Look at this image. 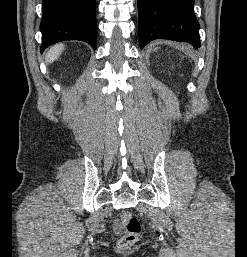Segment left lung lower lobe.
<instances>
[{
    "instance_id": "obj_1",
    "label": "left lung lower lobe",
    "mask_w": 247,
    "mask_h": 257,
    "mask_svg": "<svg viewBox=\"0 0 247 257\" xmlns=\"http://www.w3.org/2000/svg\"><path fill=\"white\" fill-rule=\"evenodd\" d=\"M140 47L155 39L188 42L200 47L194 0H137Z\"/></svg>"
}]
</instances>
